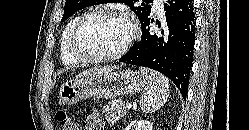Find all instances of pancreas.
Returning a JSON list of instances; mask_svg holds the SVG:
<instances>
[{"mask_svg":"<svg viewBox=\"0 0 249 130\" xmlns=\"http://www.w3.org/2000/svg\"><path fill=\"white\" fill-rule=\"evenodd\" d=\"M103 113L109 123L114 124L118 122V120L126 114L124 101L121 99L109 101V103L103 107Z\"/></svg>","mask_w":249,"mask_h":130,"instance_id":"obj_1","label":"pancreas"}]
</instances>
